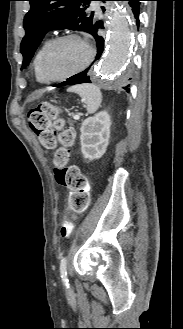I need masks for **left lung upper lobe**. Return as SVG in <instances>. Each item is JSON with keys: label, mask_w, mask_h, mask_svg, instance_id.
<instances>
[{"label": "left lung upper lobe", "mask_w": 183, "mask_h": 329, "mask_svg": "<svg viewBox=\"0 0 183 329\" xmlns=\"http://www.w3.org/2000/svg\"><path fill=\"white\" fill-rule=\"evenodd\" d=\"M30 10L24 17L25 36L20 52L24 59L22 69L29 64L44 35L49 30H80L90 32L95 15L85 9L91 1L105 0H28Z\"/></svg>", "instance_id": "5c2ea615"}]
</instances>
